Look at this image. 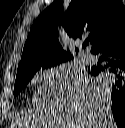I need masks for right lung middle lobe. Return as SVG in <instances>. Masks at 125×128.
Masks as SVG:
<instances>
[{
    "instance_id": "1",
    "label": "right lung middle lobe",
    "mask_w": 125,
    "mask_h": 128,
    "mask_svg": "<svg viewBox=\"0 0 125 128\" xmlns=\"http://www.w3.org/2000/svg\"><path fill=\"white\" fill-rule=\"evenodd\" d=\"M68 60L65 59H59V58H53L49 60H44L40 61L37 63H34L30 65L29 67L17 71V76H16V81H15V86H14V96L19 94L25 86L29 83V81L32 79L34 74L41 68H51L54 67L62 62H66ZM101 82L106 81V76L105 75H99L97 78Z\"/></svg>"
}]
</instances>
